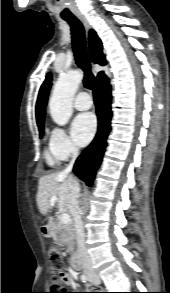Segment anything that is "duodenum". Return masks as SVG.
Here are the masks:
<instances>
[{
	"instance_id": "duodenum-1",
	"label": "duodenum",
	"mask_w": 170,
	"mask_h": 293,
	"mask_svg": "<svg viewBox=\"0 0 170 293\" xmlns=\"http://www.w3.org/2000/svg\"><path fill=\"white\" fill-rule=\"evenodd\" d=\"M41 233L44 237H50V227L49 226H42ZM72 266L75 270L80 269V256L79 253L75 250L72 258Z\"/></svg>"
}]
</instances>
